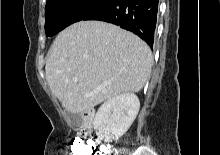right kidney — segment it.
Masks as SVG:
<instances>
[{"mask_svg": "<svg viewBox=\"0 0 220 155\" xmlns=\"http://www.w3.org/2000/svg\"><path fill=\"white\" fill-rule=\"evenodd\" d=\"M140 108L138 97L123 93L104 102L94 118L96 135L105 142H112L123 136L135 120Z\"/></svg>", "mask_w": 220, "mask_h": 155, "instance_id": "ca27d5eb", "label": "right kidney"}]
</instances>
